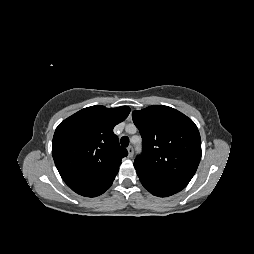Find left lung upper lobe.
<instances>
[{"label":"left lung upper lobe","instance_id":"obj_1","mask_svg":"<svg viewBox=\"0 0 254 254\" xmlns=\"http://www.w3.org/2000/svg\"><path fill=\"white\" fill-rule=\"evenodd\" d=\"M143 151L134 166L175 180L189 182L201 159V138L195 123L178 110L162 105L133 111Z\"/></svg>","mask_w":254,"mask_h":254}]
</instances>
